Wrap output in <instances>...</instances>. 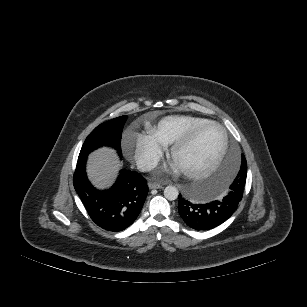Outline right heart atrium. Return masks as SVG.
Here are the masks:
<instances>
[{"label": "right heart atrium", "instance_id": "1", "mask_svg": "<svg viewBox=\"0 0 307 307\" xmlns=\"http://www.w3.org/2000/svg\"><path fill=\"white\" fill-rule=\"evenodd\" d=\"M134 142V157L137 164L143 170L154 167L161 155L166 150V145L156 139L151 130L142 133L128 134L125 137L124 144L127 146L129 140Z\"/></svg>", "mask_w": 307, "mask_h": 307}]
</instances>
